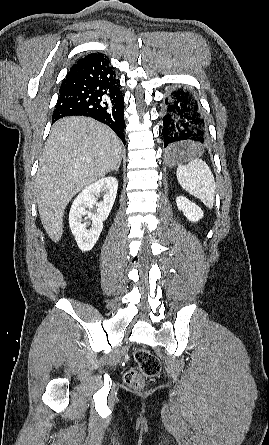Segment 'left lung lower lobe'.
Returning a JSON list of instances; mask_svg holds the SVG:
<instances>
[{"instance_id":"0a47b994","label":"left lung lower lobe","mask_w":269,"mask_h":445,"mask_svg":"<svg viewBox=\"0 0 269 445\" xmlns=\"http://www.w3.org/2000/svg\"><path fill=\"white\" fill-rule=\"evenodd\" d=\"M163 141L167 154L183 149L185 142L199 145L208 139V127L200 104L189 90L177 88L165 99Z\"/></svg>"}]
</instances>
